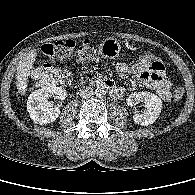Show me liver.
Returning <instances> with one entry per match:
<instances>
[{"label":"liver","mask_w":195,"mask_h":195,"mask_svg":"<svg viewBox=\"0 0 195 195\" xmlns=\"http://www.w3.org/2000/svg\"><path fill=\"white\" fill-rule=\"evenodd\" d=\"M36 56V51L31 50L28 55L19 62L17 67L16 87L21 95H24L27 91L28 78L33 68V63L36 60Z\"/></svg>","instance_id":"1"}]
</instances>
